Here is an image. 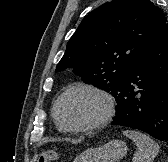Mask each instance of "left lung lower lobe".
Segmentation results:
<instances>
[{
  "label": "left lung lower lobe",
  "mask_w": 168,
  "mask_h": 162,
  "mask_svg": "<svg viewBox=\"0 0 168 162\" xmlns=\"http://www.w3.org/2000/svg\"><path fill=\"white\" fill-rule=\"evenodd\" d=\"M112 125L144 131L168 144V23L132 65L114 94Z\"/></svg>",
  "instance_id": "obj_1"
}]
</instances>
